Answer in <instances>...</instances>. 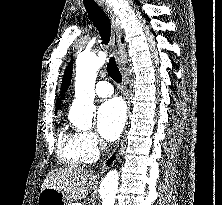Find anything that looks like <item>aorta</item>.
Instances as JSON below:
<instances>
[{
	"label": "aorta",
	"instance_id": "762f6f07",
	"mask_svg": "<svg viewBox=\"0 0 222 205\" xmlns=\"http://www.w3.org/2000/svg\"><path fill=\"white\" fill-rule=\"evenodd\" d=\"M104 59L94 52H83L77 58L75 100L69 112L73 125L80 130L92 128V119L95 113V81L97 71L103 65ZM121 178L116 169L107 173L99 191L98 204L114 205L121 188Z\"/></svg>",
	"mask_w": 222,
	"mask_h": 205
}]
</instances>
